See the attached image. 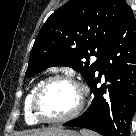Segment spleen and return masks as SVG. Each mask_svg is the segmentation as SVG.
Segmentation results:
<instances>
[{
    "mask_svg": "<svg viewBox=\"0 0 136 136\" xmlns=\"http://www.w3.org/2000/svg\"><path fill=\"white\" fill-rule=\"evenodd\" d=\"M81 134H82V136H99V135H97V134H95L93 132L85 131V130H82Z\"/></svg>",
    "mask_w": 136,
    "mask_h": 136,
    "instance_id": "1",
    "label": "spleen"
}]
</instances>
